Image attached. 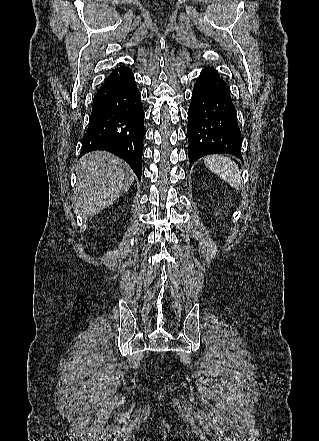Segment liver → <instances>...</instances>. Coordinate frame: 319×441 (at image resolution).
<instances>
[{"label":"liver","mask_w":319,"mask_h":441,"mask_svg":"<svg viewBox=\"0 0 319 441\" xmlns=\"http://www.w3.org/2000/svg\"><path fill=\"white\" fill-rule=\"evenodd\" d=\"M74 203L85 216H94L126 193L134 174L122 159L103 151L84 155L76 168Z\"/></svg>","instance_id":"1"}]
</instances>
